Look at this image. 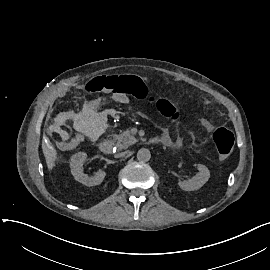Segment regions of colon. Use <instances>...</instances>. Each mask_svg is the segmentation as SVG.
Returning <instances> with one entry per match:
<instances>
[{"mask_svg": "<svg viewBox=\"0 0 270 270\" xmlns=\"http://www.w3.org/2000/svg\"><path fill=\"white\" fill-rule=\"evenodd\" d=\"M87 93H121L129 95L137 100H147L155 103L158 111L173 120H179L183 116L182 109L170 101L156 98L155 90L150 89L134 74L94 76L85 88ZM212 140L220 157L229 156L234 148L235 137L233 132L226 127H219L212 133Z\"/></svg>", "mask_w": 270, "mask_h": 270, "instance_id": "1", "label": "colon"}]
</instances>
